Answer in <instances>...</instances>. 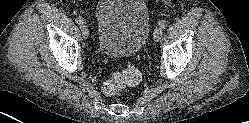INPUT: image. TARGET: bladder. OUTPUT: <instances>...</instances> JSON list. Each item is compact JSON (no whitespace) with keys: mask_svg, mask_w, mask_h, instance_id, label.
<instances>
[{"mask_svg":"<svg viewBox=\"0 0 249 123\" xmlns=\"http://www.w3.org/2000/svg\"><path fill=\"white\" fill-rule=\"evenodd\" d=\"M95 18L98 49L112 58L136 54L150 29L144 0H100Z\"/></svg>","mask_w":249,"mask_h":123,"instance_id":"1","label":"bladder"}]
</instances>
